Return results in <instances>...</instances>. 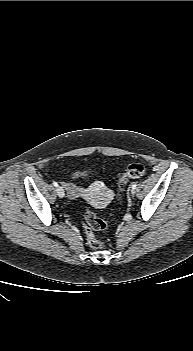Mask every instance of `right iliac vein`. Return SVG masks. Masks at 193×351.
<instances>
[{"instance_id": "right-iliac-vein-1", "label": "right iliac vein", "mask_w": 193, "mask_h": 351, "mask_svg": "<svg viewBox=\"0 0 193 351\" xmlns=\"http://www.w3.org/2000/svg\"><path fill=\"white\" fill-rule=\"evenodd\" d=\"M56 192L60 198L65 196V191L61 186H57Z\"/></svg>"}]
</instances>
